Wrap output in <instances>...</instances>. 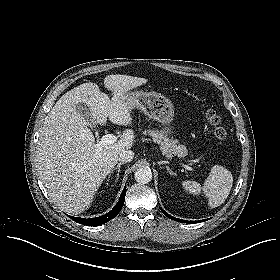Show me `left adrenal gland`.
<instances>
[{
    "mask_svg": "<svg viewBox=\"0 0 280 280\" xmlns=\"http://www.w3.org/2000/svg\"><path fill=\"white\" fill-rule=\"evenodd\" d=\"M161 164V163H160ZM167 169V172H169L171 175H175L176 173L174 171H172L169 166H165Z\"/></svg>",
    "mask_w": 280,
    "mask_h": 280,
    "instance_id": "obj_1",
    "label": "left adrenal gland"
}]
</instances>
